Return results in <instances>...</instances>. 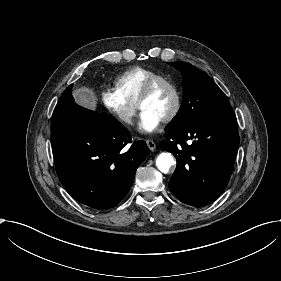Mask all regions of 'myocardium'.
Returning <instances> with one entry per match:
<instances>
[{"mask_svg": "<svg viewBox=\"0 0 281 281\" xmlns=\"http://www.w3.org/2000/svg\"><path fill=\"white\" fill-rule=\"evenodd\" d=\"M160 85L168 86L171 89L174 96V103L172 109L170 113L162 121V123L168 124L178 116L182 106V97H181L180 89L177 86V84L170 78L165 76H157L149 80L138 98L137 106L138 109L141 110L142 103L145 100H147L152 95V93L156 90V88L159 87Z\"/></svg>", "mask_w": 281, "mask_h": 281, "instance_id": "myocardium-1", "label": "myocardium"}]
</instances>
